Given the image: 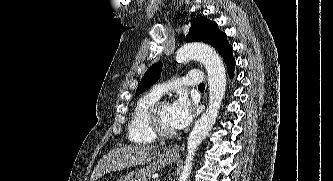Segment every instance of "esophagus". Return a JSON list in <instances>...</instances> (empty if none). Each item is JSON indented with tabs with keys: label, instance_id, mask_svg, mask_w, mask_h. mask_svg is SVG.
<instances>
[{
	"label": "esophagus",
	"instance_id": "34e87169",
	"mask_svg": "<svg viewBox=\"0 0 333 181\" xmlns=\"http://www.w3.org/2000/svg\"><path fill=\"white\" fill-rule=\"evenodd\" d=\"M179 150H180L179 146H173L172 148H170L168 150V153L172 154V155H177V154H179Z\"/></svg>",
	"mask_w": 333,
	"mask_h": 181
}]
</instances>
